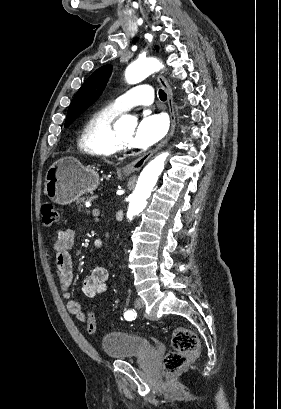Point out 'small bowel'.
Masks as SVG:
<instances>
[{"instance_id": "obj_1", "label": "small bowel", "mask_w": 281, "mask_h": 409, "mask_svg": "<svg viewBox=\"0 0 281 409\" xmlns=\"http://www.w3.org/2000/svg\"><path fill=\"white\" fill-rule=\"evenodd\" d=\"M74 231L68 228L60 229L56 232L53 241L55 253V273L58 284L66 302L68 312L83 323L89 320H95L93 312L85 313L80 303L70 294L73 279V260L70 250L74 243ZM94 249L101 251L103 243L96 239L93 243ZM109 281V271L107 268L98 266L91 270L83 284V290L86 296L95 297L106 292Z\"/></svg>"}]
</instances>
